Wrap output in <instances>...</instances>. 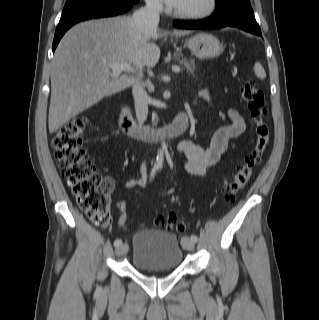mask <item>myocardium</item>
Instances as JSON below:
<instances>
[{"mask_svg":"<svg viewBox=\"0 0 319 320\" xmlns=\"http://www.w3.org/2000/svg\"><path fill=\"white\" fill-rule=\"evenodd\" d=\"M218 5V0H207L206 7L202 10L195 11V12H180L178 10H174V15L177 18L184 19V20H198L204 19L212 15Z\"/></svg>","mask_w":319,"mask_h":320,"instance_id":"obj_1","label":"myocardium"}]
</instances>
